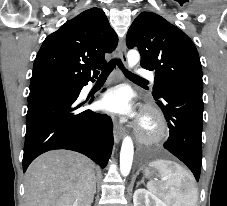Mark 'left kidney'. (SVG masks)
Masks as SVG:
<instances>
[{"label":"left kidney","instance_id":"1","mask_svg":"<svg viewBox=\"0 0 227 206\" xmlns=\"http://www.w3.org/2000/svg\"><path fill=\"white\" fill-rule=\"evenodd\" d=\"M134 206H167L161 199L146 189H137L133 195Z\"/></svg>","mask_w":227,"mask_h":206}]
</instances>
